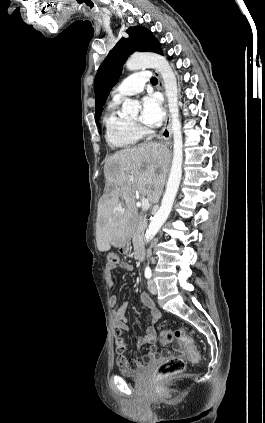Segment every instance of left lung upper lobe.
I'll return each instance as SVG.
<instances>
[{
  "label": "left lung upper lobe",
  "mask_w": 265,
  "mask_h": 423,
  "mask_svg": "<svg viewBox=\"0 0 265 423\" xmlns=\"http://www.w3.org/2000/svg\"><path fill=\"white\" fill-rule=\"evenodd\" d=\"M127 33L129 38H121L118 41L97 71L94 81L96 122L99 121L110 90L116 84L122 72V65L126 58L137 50L163 55L159 42L148 29L141 26L129 27Z\"/></svg>",
  "instance_id": "5c2ea615"
}]
</instances>
